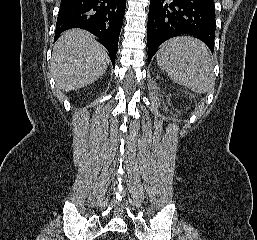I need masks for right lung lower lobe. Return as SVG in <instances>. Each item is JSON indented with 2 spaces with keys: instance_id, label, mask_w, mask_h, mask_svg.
<instances>
[{
  "instance_id": "98d812e1",
  "label": "right lung lower lobe",
  "mask_w": 257,
  "mask_h": 240,
  "mask_svg": "<svg viewBox=\"0 0 257 240\" xmlns=\"http://www.w3.org/2000/svg\"><path fill=\"white\" fill-rule=\"evenodd\" d=\"M126 0H61L54 41L70 28L85 29L108 50L113 66Z\"/></svg>"
}]
</instances>
